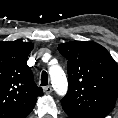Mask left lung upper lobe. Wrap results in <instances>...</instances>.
<instances>
[{
  "label": "left lung upper lobe",
  "instance_id": "1",
  "mask_svg": "<svg viewBox=\"0 0 118 118\" xmlns=\"http://www.w3.org/2000/svg\"><path fill=\"white\" fill-rule=\"evenodd\" d=\"M68 60V93L62 107L71 118H105L118 95V65L101 45L71 41L58 45Z\"/></svg>",
  "mask_w": 118,
  "mask_h": 118
}]
</instances>
